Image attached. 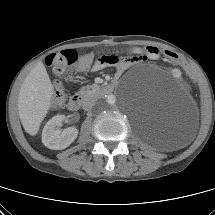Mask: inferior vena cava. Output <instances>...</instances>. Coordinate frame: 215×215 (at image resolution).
Here are the masks:
<instances>
[{"label": "inferior vena cava", "instance_id": "602c4592", "mask_svg": "<svg viewBox=\"0 0 215 215\" xmlns=\"http://www.w3.org/2000/svg\"><path fill=\"white\" fill-rule=\"evenodd\" d=\"M96 105L95 100L86 101L83 105L84 110H90Z\"/></svg>", "mask_w": 215, "mask_h": 215}]
</instances>
